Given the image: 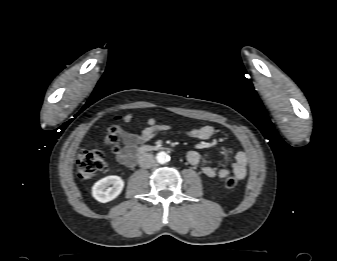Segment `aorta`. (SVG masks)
I'll return each instance as SVG.
<instances>
[{"label": "aorta", "instance_id": "obj_1", "mask_svg": "<svg viewBox=\"0 0 337 261\" xmlns=\"http://www.w3.org/2000/svg\"><path fill=\"white\" fill-rule=\"evenodd\" d=\"M156 160L160 164H165L170 160V157L166 152L161 151L157 153Z\"/></svg>", "mask_w": 337, "mask_h": 261}]
</instances>
